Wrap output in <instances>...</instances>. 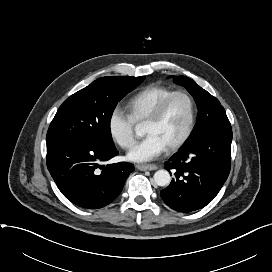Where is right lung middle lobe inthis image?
I'll use <instances>...</instances> for the list:
<instances>
[{
	"instance_id": "1",
	"label": "right lung middle lobe",
	"mask_w": 272,
	"mask_h": 272,
	"mask_svg": "<svg viewBox=\"0 0 272 272\" xmlns=\"http://www.w3.org/2000/svg\"><path fill=\"white\" fill-rule=\"evenodd\" d=\"M145 77L109 76L76 92L58 109L47 132V149L72 141L114 147L110 120L117 103Z\"/></svg>"
}]
</instances>
